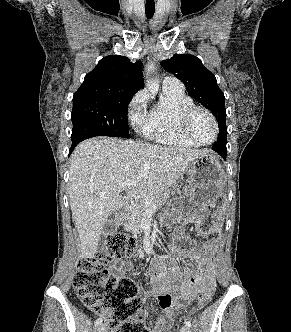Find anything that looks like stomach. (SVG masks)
<instances>
[{"mask_svg":"<svg viewBox=\"0 0 291 332\" xmlns=\"http://www.w3.org/2000/svg\"><path fill=\"white\" fill-rule=\"evenodd\" d=\"M188 189L175 190L169 206L198 213L212 205L221 195L224 172L218 160L209 153L200 155L187 168Z\"/></svg>","mask_w":291,"mask_h":332,"instance_id":"0dacf381","label":"stomach"}]
</instances>
